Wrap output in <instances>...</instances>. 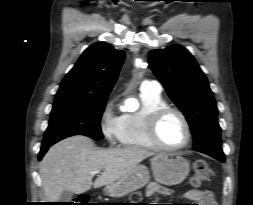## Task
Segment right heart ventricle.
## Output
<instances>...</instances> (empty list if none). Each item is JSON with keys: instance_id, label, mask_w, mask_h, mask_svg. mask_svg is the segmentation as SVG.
Instances as JSON below:
<instances>
[{"instance_id": "1", "label": "right heart ventricle", "mask_w": 253, "mask_h": 205, "mask_svg": "<svg viewBox=\"0 0 253 205\" xmlns=\"http://www.w3.org/2000/svg\"><path fill=\"white\" fill-rule=\"evenodd\" d=\"M141 108L133 113L121 116V133L119 142L123 147L149 149L156 147L147 135V122L150 114L164 106L167 102L160 93L141 91Z\"/></svg>"}]
</instances>
